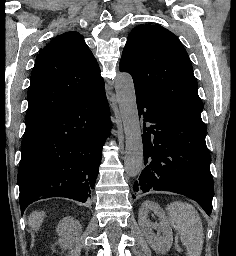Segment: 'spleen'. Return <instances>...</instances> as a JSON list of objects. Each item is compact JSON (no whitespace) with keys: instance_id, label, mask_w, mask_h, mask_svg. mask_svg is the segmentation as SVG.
I'll list each match as a JSON object with an SVG mask.
<instances>
[{"instance_id":"spleen-1","label":"spleen","mask_w":236,"mask_h":256,"mask_svg":"<svg viewBox=\"0 0 236 256\" xmlns=\"http://www.w3.org/2000/svg\"><path fill=\"white\" fill-rule=\"evenodd\" d=\"M167 210L171 224L187 250V256H201L204 234L197 210L184 202H172Z\"/></svg>"}]
</instances>
